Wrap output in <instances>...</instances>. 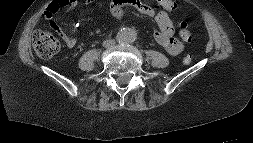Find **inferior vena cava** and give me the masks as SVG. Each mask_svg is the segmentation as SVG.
<instances>
[{
	"label": "inferior vena cava",
	"mask_w": 253,
	"mask_h": 143,
	"mask_svg": "<svg viewBox=\"0 0 253 143\" xmlns=\"http://www.w3.org/2000/svg\"><path fill=\"white\" fill-rule=\"evenodd\" d=\"M112 43H114V40H107L104 42V44H106L107 46L111 45Z\"/></svg>",
	"instance_id": "602c4592"
}]
</instances>
